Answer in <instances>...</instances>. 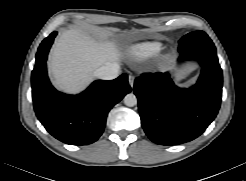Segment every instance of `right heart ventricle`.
<instances>
[{
	"label": "right heart ventricle",
	"instance_id": "obj_1",
	"mask_svg": "<svg viewBox=\"0 0 246 181\" xmlns=\"http://www.w3.org/2000/svg\"><path fill=\"white\" fill-rule=\"evenodd\" d=\"M161 48L162 45L160 42H143L133 46L130 53L136 60H145L156 56Z\"/></svg>",
	"mask_w": 246,
	"mask_h": 181
}]
</instances>
